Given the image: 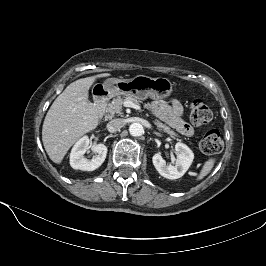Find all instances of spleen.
Wrapping results in <instances>:
<instances>
[{
    "label": "spleen",
    "instance_id": "obj_1",
    "mask_svg": "<svg viewBox=\"0 0 266 266\" xmlns=\"http://www.w3.org/2000/svg\"><path fill=\"white\" fill-rule=\"evenodd\" d=\"M216 160L214 158H210L205 161L199 175L197 176V180L203 179L214 167Z\"/></svg>",
    "mask_w": 266,
    "mask_h": 266
}]
</instances>
